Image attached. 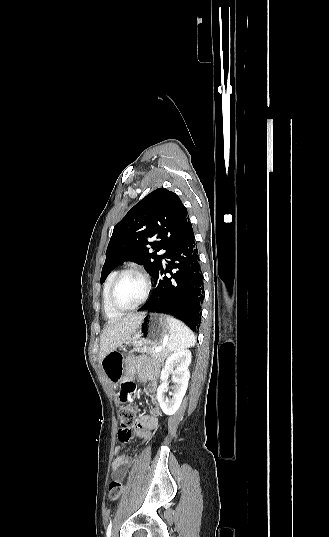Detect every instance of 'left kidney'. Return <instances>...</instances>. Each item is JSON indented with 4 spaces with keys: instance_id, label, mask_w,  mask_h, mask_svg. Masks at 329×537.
Returning <instances> with one entry per match:
<instances>
[{
    "instance_id": "5707ae66",
    "label": "left kidney",
    "mask_w": 329,
    "mask_h": 537,
    "mask_svg": "<svg viewBox=\"0 0 329 537\" xmlns=\"http://www.w3.org/2000/svg\"><path fill=\"white\" fill-rule=\"evenodd\" d=\"M191 363V352L189 350H181L169 355L166 359L165 366L161 371V385L157 389V399L162 411L166 415H173L179 409L183 397L188 387L190 373L188 367ZM176 369L173 370V367ZM173 371L172 381L174 382L172 398L165 397V392L168 390L169 373Z\"/></svg>"
}]
</instances>
